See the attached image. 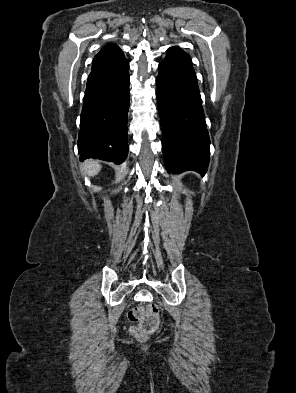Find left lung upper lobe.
<instances>
[{"label":"left lung upper lobe","mask_w":296,"mask_h":393,"mask_svg":"<svg viewBox=\"0 0 296 393\" xmlns=\"http://www.w3.org/2000/svg\"><path fill=\"white\" fill-rule=\"evenodd\" d=\"M170 49H172V50H180L181 51V49L180 48H178V47H172V48H170Z\"/></svg>","instance_id":"1"}]
</instances>
